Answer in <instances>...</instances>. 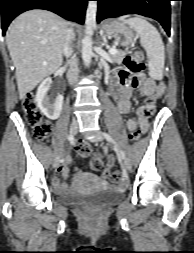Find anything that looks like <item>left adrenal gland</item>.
<instances>
[{
  "label": "left adrenal gland",
  "instance_id": "a2214340",
  "mask_svg": "<svg viewBox=\"0 0 194 253\" xmlns=\"http://www.w3.org/2000/svg\"><path fill=\"white\" fill-rule=\"evenodd\" d=\"M105 44V40L103 41V45Z\"/></svg>",
  "mask_w": 194,
  "mask_h": 253
}]
</instances>
